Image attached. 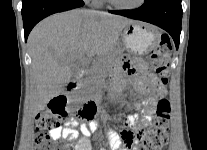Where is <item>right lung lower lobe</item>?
Listing matches in <instances>:
<instances>
[{"mask_svg": "<svg viewBox=\"0 0 207 150\" xmlns=\"http://www.w3.org/2000/svg\"><path fill=\"white\" fill-rule=\"evenodd\" d=\"M25 40L32 28L43 18L84 5L82 0H22Z\"/></svg>", "mask_w": 207, "mask_h": 150, "instance_id": "right-lung-lower-lobe-1", "label": "right lung lower lobe"}]
</instances>
